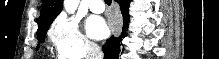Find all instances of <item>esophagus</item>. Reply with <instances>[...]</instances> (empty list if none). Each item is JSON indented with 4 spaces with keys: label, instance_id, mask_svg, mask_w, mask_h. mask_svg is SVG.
<instances>
[{
    "label": "esophagus",
    "instance_id": "1",
    "mask_svg": "<svg viewBox=\"0 0 219 59\" xmlns=\"http://www.w3.org/2000/svg\"><path fill=\"white\" fill-rule=\"evenodd\" d=\"M112 34L115 35V36H118L120 34V30L119 29H113Z\"/></svg>",
    "mask_w": 219,
    "mask_h": 59
}]
</instances>
